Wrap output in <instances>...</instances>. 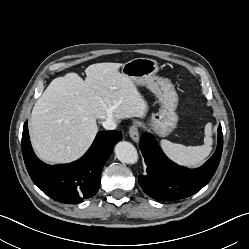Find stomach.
<instances>
[{
  "instance_id": "0dacf381",
  "label": "stomach",
  "mask_w": 249,
  "mask_h": 249,
  "mask_svg": "<svg viewBox=\"0 0 249 249\" xmlns=\"http://www.w3.org/2000/svg\"><path fill=\"white\" fill-rule=\"evenodd\" d=\"M158 70V63L149 58H135L122 66L123 75L134 84L147 87L158 98L160 108L152 114L149 125L157 135L166 137L177 126L178 95L168 79L157 76Z\"/></svg>"
}]
</instances>
